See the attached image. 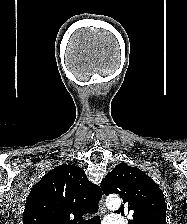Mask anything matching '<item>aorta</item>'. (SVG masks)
<instances>
[{"label": "aorta", "mask_w": 187, "mask_h": 224, "mask_svg": "<svg viewBox=\"0 0 187 224\" xmlns=\"http://www.w3.org/2000/svg\"><path fill=\"white\" fill-rule=\"evenodd\" d=\"M106 205L112 210H116L121 205V199L117 195H111L106 198Z\"/></svg>", "instance_id": "aorta-1"}]
</instances>
